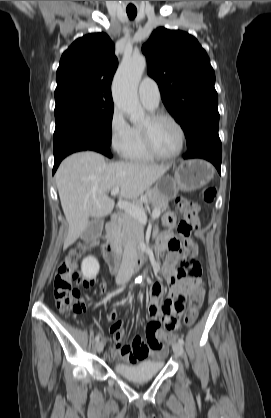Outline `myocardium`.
<instances>
[{
    "mask_svg": "<svg viewBox=\"0 0 271 418\" xmlns=\"http://www.w3.org/2000/svg\"><path fill=\"white\" fill-rule=\"evenodd\" d=\"M149 120V124L146 126H142L141 130H142V136H143V140H144V144L146 146V149L148 150V152L157 159H161V160H171V159H175L177 158L183 151L184 147H185V143H186V133L185 130L183 128V126L181 125V123L172 115L165 113V112H154L151 113L150 116L148 117ZM160 120H168L170 122H172L176 128L178 129L179 133H180V146L178 148V150L170 155H165L160 153L154 143H153V139H152V132H151V126L156 123L157 121Z\"/></svg>",
    "mask_w": 271,
    "mask_h": 418,
    "instance_id": "obj_1",
    "label": "myocardium"
}]
</instances>
